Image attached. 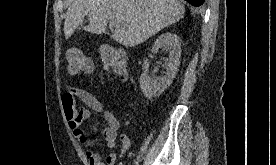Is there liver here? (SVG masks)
I'll list each match as a JSON object with an SVG mask.
<instances>
[{"label":"liver","instance_id":"obj_1","mask_svg":"<svg viewBox=\"0 0 276 165\" xmlns=\"http://www.w3.org/2000/svg\"><path fill=\"white\" fill-rule=\"evenodd\" d=\"M184 14L185 8L178 0H75L66 13L64 34L70 38L88 16L86 31L102 34L107 23H112L115 30L111 37L134 47L178 22Z\"/></svg>","mask_w":276,"mask_h":165}]
</instances>
